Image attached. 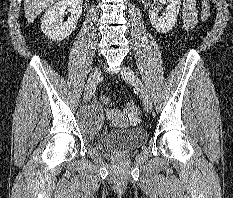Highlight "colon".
<instances>
[{"mask_svg": "<svg viewBox=\"0 0 233 198\" xmlns=\"http://www.w3.org/2000/svg\"><path fill=\"white\" fill-rule=\"evenodd\" d=\"M211 9L208 0L201 1V17L204 21H207L210 17ZM101 101L105 104L109 103V99L107 97L102 96ZM124 111L128 117L134 119L139 114V106L136 103L129 102L124 106Z\"/></svg>", "mask_w": 233, "mask_h": 198, "instance_id": "obj_1", "label": "colon"}]
</instances>
